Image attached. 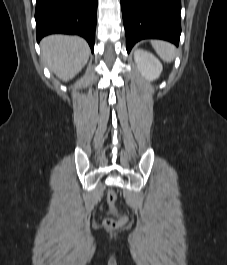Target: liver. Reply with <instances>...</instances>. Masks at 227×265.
I'll use <instances>...</instances> for the list:
<instances>
[{"label": "liver", "mask_w": 227, "mask_h": 265, "mask_svg": "<svg viewBox=\"0 0 227 265\" xmlns=\"http://www.w3.org/2000/svg\"><path fill=\"white\" fill-rule=\"evenodd\" d=\"M42 58L62 81L73 79L86 65L90 48L78 36L50 35L41 41Z\"/></svg>", "instance_id": "6515ba94"}]
</instances>
